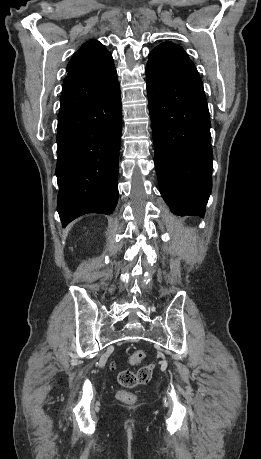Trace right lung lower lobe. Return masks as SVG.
<instances>
[{
    "label": "right lung lower lobe",
    "mask_w": 261,
    "mask_h": 459,
    "mask_svg": "<svg viewBox=\"0 0 261 459\" xmlns=\"http://www.w3.org/2000/svg\"><path fill=\"white\" fill-rule=\"evenodd\" d=\"M121 130L119 83L97 101L58 118L57 210L63 227L83 214L109 215L115 209Z\"/></svg>",
    "instance_id": "1"
}]
</instances>
